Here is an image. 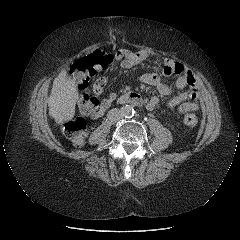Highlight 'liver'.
<instances>
[{
  "mask_svg": "<svg viewBox=\"0 0 240 240\" xmlns=\"http://www.w3.org/2000/svg\"><path fill=\"white\" fill-rule=\"evenodd\" d=\"M78 98L75 82L67 76L66 70H62L54 79L48 98L49 115L57 124L72 120Z\"/></svg>",
  "mask_w": 240,
  "mask_h": 240,
  "instance_id": "liver-1",
  "label": "liver"
}]
</instances>
